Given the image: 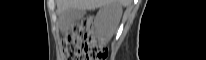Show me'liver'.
Returning <instances> with one entry per match:
<instances>
[{"mask_svg": "<svg viewBox=\"0 0 206 60\" xmlns=\"http://www.w3.org/2000/svg\"><path fill=\"white\" fill-rule=\"evenodd\" d=\"M126 4V0H57V10L58 13L61 14L63 11L69 9V8H76L80 10H91L96 9L102 6H108L113 5L116 8L120 9V13L115 18V21L111 27V35L115 31V29L118 26V23L121 18V7ZM108 37V38H110Z\"/></svg>", "mask_w": 206, "mask_h": 60, "instance_id": "obj_1", "label": "liver"}]
</instances>
